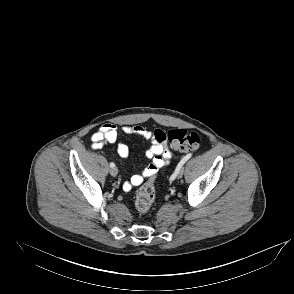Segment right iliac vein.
Wrapping results in <instances>:
<instances>
[{"mask_svg": "<svg viewBox=\"0 0 294 294\" xmlns=\"http://www.w3.org/2000/svg\"><path fill=\"white\" fill-rule=\"evenodd\" d=\"M109 172H110L111 176L116 177L118 174V169L116 167H113L110 169Z\"/></svg>", "mask_w": 294, "mask_h": 294, "instance_id": "right-iliac-vein-1", "label": "right iliac vein"}]
</instances>
